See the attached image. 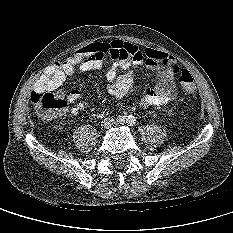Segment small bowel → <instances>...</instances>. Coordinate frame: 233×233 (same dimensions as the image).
Wrapping results in <instances>:
<instances>
[{
	"mask_svg": "<svg viewBox=\"0 0 233 233\" xmlns=\"http://www.w3.org/2000/svg\"><path fill=\"white\" fill-rule=\"evenodd\" d=\"M108 60L111 61V65L106 70L105 77L107 90L112 96L123 99L138 91L133 83L132 67L145 66L156 72V83L153 88L140 91L139 106L141 108L161 106L176 98V76L180 68L175 58L150 48L140 50L136 45L120 40L91 43L77 50L64 61L49 66L38 80L36 90H55L76 69L81 72L99 71ZM81 97L80 91H72L67 95L72 114L88 106V102L81 100Z\"/></svg>",
	"mask_w": 233,
	"mask_h": 233,
	"instance_id": "1",
	"label": "small bowel"
}]
</instances>
